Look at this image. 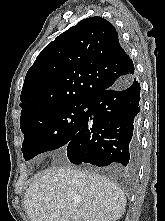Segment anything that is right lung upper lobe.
I'll return each mask as SVG.
<instances>
[{"mask_svg": "<svg viewBox=\"0 0 165 221\" xmlns=\"http://www.w3.org/2000/svg\"><path fill=\"white\" fill-rule=\"evenodd\" d=\"M134 73L114 26L101 17L84 19L49 43L29 68L20 123L50 109L89 103Z\"/></svg>", "mask_w": 165, "mask_h": 221, "instance_id": "right-lung-upper-lobe-1", "label": "right lung upper lobe"}]
</instances>
